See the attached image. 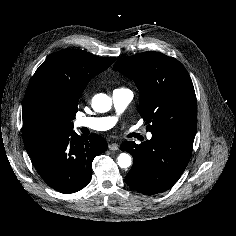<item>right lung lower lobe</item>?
<instances>
[{"instance_id":"obj_1","label":"right lung lower lobe","mask_w":236,"mask_h":236,"mask_svg":"<svg viewBox=\"0 0 236 236\" xmlns=\"http://www.w3.org/2000/svg\"><path fill=\"white\" fill-rule=\"evenodd\" d=\"M107 146L98 134L81 138L71 129L25 147L43 180L53 189L69 194L90 182L92 161Z\"/></svg>"}]
</instances>
